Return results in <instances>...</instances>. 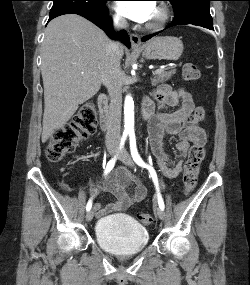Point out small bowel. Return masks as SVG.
Masks as SVG:
<instances>
[{
  "instance_id": "obj_1",
  "label": "small bowel",
  "mask_w": 250,
  "mask_h": 285,
  "mask_svg": "<svg viewBox=\"0 0 250 285\" xmlns=\"http://www.w3.org/2000/svg\"><path fill=\"white\" fill-rule=\"evenodd\" d=\"M153 98L158 103L159 110L152 115L149 122L151 149L161 172L168 178H175L182 172L183 161L181 159L174 166H169L171 159L164 148V137L178 136L176 149L182 158L186 156L191 144L204 145L206 134L200 126L204 110L195 106L191 94L184 88L173 90L167 85H162L154 92ZM146 104L152 109V100H147ZM179 104L177 110L166 111L167 108ZM132 182H136L134 188H130ZM106 189L115 195L116 201L105 207L96 203L94 210L99 217L126 210L143 200L147 193L145 185L124 167L117 168L107 179Z\"/></svg>"
}]
</instances>
